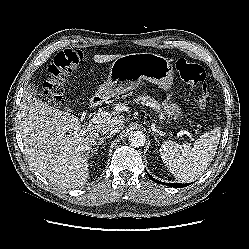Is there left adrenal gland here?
Masks as SVG:
<instances>
[{
	"instance_id": "obj_1",
	"label": "left adrenal gland",
	"mask_w": 249,
	"mask_h": 249,
	"mask_svg": "<svg viewBox=\"0 0 249 249\" xmlns=\"http://www.w3.org/2000/svg\"><path fill=\"white\" fill-rule=\"evenodd\" d=\"M156 141H158L157 137L155 136Z\"/></svg>"
}]
</instances>
